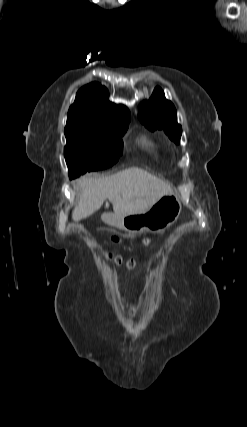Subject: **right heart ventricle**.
<instances>
[{
	"label": "right heart ventricle",
	"mask_w": 247,
	"mask_h": 427,
	"mask_svg": "<svg viewBox=\"0 0 247 427\" xmlns=\"http://www.w3.org/2000/svg\"><path fill=\"white\" fill-rule=\"evenodd\" d=\"M141 144H142L143 147H145L146 149H148V150H150L152 152H155V153L158 152L157 145L153 141H151L149 139H146V138L142 139L141 140Z\"/></svg>",
	"instance_id": "obj_1"
}]
</instances>
